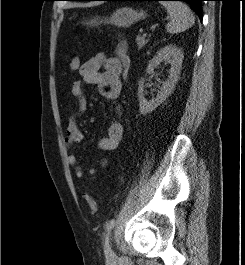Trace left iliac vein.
<instances>
[{"mask_svg": "<svg viewBox=\"0 0 245 265\" xmlns=\"http://www.w3.org/2000/svg\"><path fill=\"white\" fill-rule=\"evenodd\" d=\"M109 237H110V236L107 237V243H106V244L109 243ZM109 251H110L109 248H107V250H106V252H107L106 254H107V255H111V251H110V252H109Z\"/></svg>", "mask_w": 245, "mask_h": 265, "instance_id": "1", "label": "left iliac vein"}]
</instances>
